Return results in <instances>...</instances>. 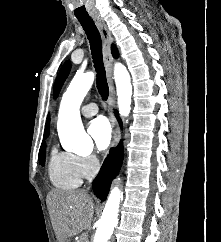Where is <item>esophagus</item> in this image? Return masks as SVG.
<instances>
[{
    "instance_id": "obj_1",
    "label": "esophagus",
    "mask_w": 221,
    "mask_h": 242,
    "mask_svg": "<svg viewBox=\"0 0 221 242\" xmlns=\"http://www.w3.org/2000/svg\"><path fill=\"white\" fill-rule=\"evenodd\" d=\"M94 21L100 31L102 41H103V58H104V65L106 69V75L109 85V98L108 103L110 106H113L115 100V91L113 85V77H112V54H111V44H112V37L111 33L108 30L105 23L100 18H94ZM110 120L113 129V140H112V147H115L121 138L120 128L117 125L116 118L110 113Z\"/></svg>"
}]
</instances>
